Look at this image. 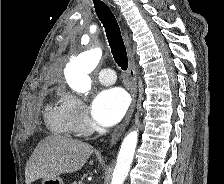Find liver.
I'll return each mask as SVG.
<instances>
[{"label": "liver", "mask_w": 224, "mask_h": 184, "mask_svg": "<svg viewBox=\"0 0 224 184\" xmlns=\"http://www.w3.org/2000/svg\"><path fill=\"white\" fill-rule=\"evenodd\" d=\"M93 147L79 140L52 135L39 142L25 167V182L31 184L39 178H56L80 170Z\"/></svg>", "instance_id": "1"}]
</instances>
